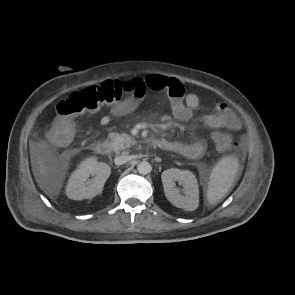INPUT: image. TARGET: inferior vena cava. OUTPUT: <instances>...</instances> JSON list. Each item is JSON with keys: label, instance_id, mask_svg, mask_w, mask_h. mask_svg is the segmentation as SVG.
<instances>
[{"label": "inferior vena cava", "instance_id": "1", "mask_svg": "<svg viewBox=\"0 0 295 295\" xmlns=\"http://www.w3.org/2000/svg\"><path fill=\"white\" fill-rule=\"evenodd\" d=\"M131 157L129 155H120V156H116L114 159V163L116 165H123L125 163H127L128 161H130Z\"/></svg>", "mask_w": 295, "mask_h": 295}]
</instances>
